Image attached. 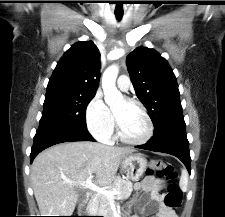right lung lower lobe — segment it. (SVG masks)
Masks as SVG:
<instances>
[{
  "mask_svg": "<svg viewBox=\"0 0 225 217\" xmlns=\"http://www.w3.org/2000/svg\"><path fill=\"white\" fill-rule=\"evenodd\" d=\"M67 141H95L87 128H76L54 122H40L30 154L31 162L42 150Z\"/></svg>",
  "mask_w": 225,
  "mask_h": 217,
  "instance_id": "98d812e1",
  "label": "right lung lower lobe"
}]
</instances>
